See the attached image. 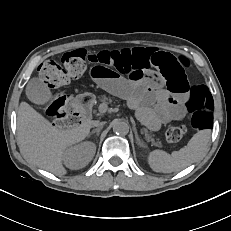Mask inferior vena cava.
Wrapping results in <instances>:
<instances>
[{"instance_id": "obj_1", "label": "inferior vena cava", "mask_w": 231, "mask_h": 231, "mask_svg": "<svg viewBox=\"0 0 231 231\" xmlns=\"http://www.w3.org/2000/svg\"><path fill=\"white\" fill-rule=\"evenodd\" d=\"M104 124H105V122H99V121L93 122V126L98 127V128L102 127Z\"/></svg>"}]
</instances>
